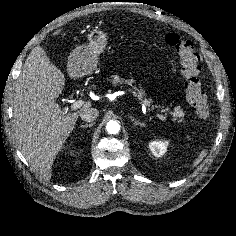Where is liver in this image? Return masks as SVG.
<instances>
[{"label":"liver","instance_id":"liver-1","mask_svg":"<svg viewBox=\"0 0 236 236\" xmlns=\"http://www.w3.org/2000/svg\"><path fill=\"white\" fill-rule=\"evenodd\" d=\"M69 72V70H68ZM77 77V72H69ZM65 86L64 74L41 46L32 49L17 79L13 98L14 136L29 164L44 179L52 176L53 161L66 142L85 102L77 112L63 111L56 102Z\"/></svg>","mask_w":236,"mask_h":236}]
</instances>
